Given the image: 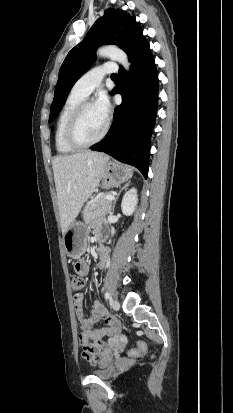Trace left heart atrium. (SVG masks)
Listing matches in <instances>:
<instances>
[{
	"label": "left heart atrium",
	"mask_w": 233,
	"mask_h": 413,
	"mask_svg": "<svg viewBox=\"0 0 233 413\" xmlns=\"http://www.w3.org/2000/svg\"><path fill=\"white\" fill-rule=\"evenodd\" d=\"M95 105L104 119L108 120L111 114V103L106 94H101L95 102Z\"/></svg>",
	"instance_id": "1"
}]
</instances>
